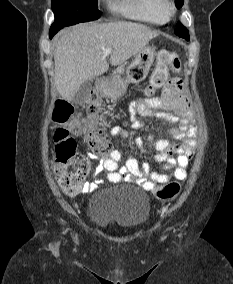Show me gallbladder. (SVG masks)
Wrapping results in <instances>:
<instances>
[{"label":"gallbladder","instance_id":"bac80fb5","mask_svg":"<svg viewBox=\"0 0 233 284\" xmlns=\"http://www.w3.org/2000/svg\"><path fill=\"white\" fill-rule=\"evenodd\" d=\"M92 90V85L90 81L84 82L76 94L74 95L72 101L75 104H83L86 102V100L89 98Z\"/></svg>","mask_w":233,"mask_h":284}]
</instances>
